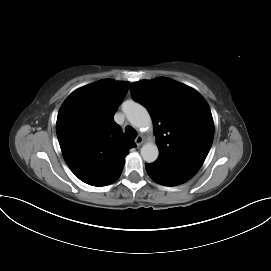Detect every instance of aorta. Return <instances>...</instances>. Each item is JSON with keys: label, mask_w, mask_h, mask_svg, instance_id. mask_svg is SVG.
<instances>
[{"label": "aorta", "mask_w": 271, "mask_h": 271, "mask_svg": "<svg viewBox=\"0 0 271 271\" xmlns=\"http://www.w3.org/2000/svg\"><path fill=\"white\" fill-rule=\"evenodd\" d=\"M123 111L128 121L137 128L150 127L152 120L147 109L134 101H127L123 106ZM159 150L156 144L147 142L141 148V156L147 163L157 160Z\"/></svg>", "instance_id": "1"}]
</instances>
